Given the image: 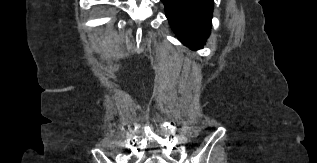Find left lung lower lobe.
I'll use <instances>...</instances> for the list:
<instances>
[{
	"mask_svg": "<svg viewBox=\"0 0 317 163\" xmlns=\"http://www.w3.org/2000/svg\"><path fill=\"white\" fill-rule=\"evenodd\" d=\"M166 17L179 40L191 48H202L210 35L213 0H161Z\"/></svg>",
	"mask_w": 317,
	"mask_h": 163,
	"instance_id": "obj_1",
	"label": "left lung lower lobe"
}]
</instances>
